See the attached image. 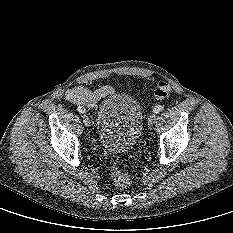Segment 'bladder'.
Returning <instances> with one entry per match:
<instances>
[{"mask_svg": "<svg viewBox=\"0 0 233 233\" xmlns=\"http://www.w3.org/2000/svg\"><path fill=\"white\" fill-rule=\"evenodd\" d=\"M143 120V109L136 98L123 93L110 95L97 109L98 139L108 151L125 153L136 144Z\"/></svg>", "mask_w": 233, "mask_h": 233, "instance_id": "1", "label": "bladder"}]
</instances>
